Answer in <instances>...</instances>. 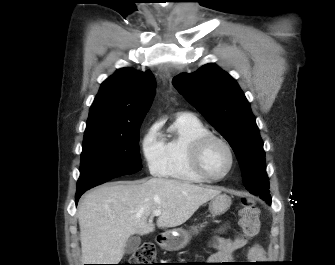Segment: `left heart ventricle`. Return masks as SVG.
Wrapping results in <instances>:
<instances>
[{"instance_id":"obj_1","label":"left heart ventricle","mask_w":335,"mask_h":265,"mask_svg":"<svg viewBox=\"0 0 335 265\" xmlns=\"http://www.w3.org/2000/svg\"><path fill=\"white\" fill-rule=\"evenodd\" d=\"M202 163L210 175L221 176L229 167V153L223 144L210 142L203 152Z\"/></svg>"}]
</instances>
